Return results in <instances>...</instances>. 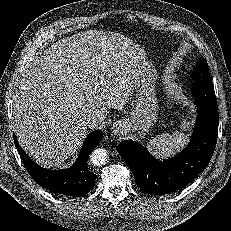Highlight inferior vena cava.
Here are the masks:
<instances>
[{
    "label": "inferior vena cava",
    "instance_id": "602c4592",
    "mask_svg": "<svg viewBox=\"0 0 231 231\" xmlns=\"http://www.w3.org/2000/svg\"><path fill=\"white\" fill-rule=\"evenodd\" d=\"M100 119L97 118L95 115H88L85 118V124L89 127H95L98 126L100 124Z\"/></svg>",
    "mask_w": 231,
    "mask_h": 231
}]
</instances>
